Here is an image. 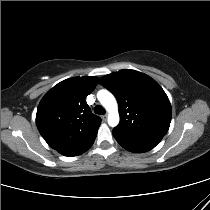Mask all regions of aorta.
Here are the masks:
<instances>
[{
  "mask_svg": "<svg viewBox=\"0 0 210 210\" xmlns=\"http://www.w3.org/2000/svg\"><path fill=\"white\" fill-rule=\"evenodd\" d=\"M97 98L102 104V106L108 111V124L111 127H115L119 123V113L118 104L113 96L108 90H100L97 93Z\"/></svg>",
  "mask_w": 210,
  "mask_h": 210,
  "instance_id": "obj_1",
  "label": "aorta"
}]
</instances>
